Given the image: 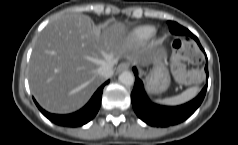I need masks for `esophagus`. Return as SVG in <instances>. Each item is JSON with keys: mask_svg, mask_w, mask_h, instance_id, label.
I'll return each instance as SVG.
<instances>
[{"mask_svg": "<svg viewBox=\"0 0 238 145\" xmlns=\"http://www.w3.org/2000/svg\"><path fill=\"white\" fill-rule=\"evenodd\" d=\"M129 68V64L128 63H121L119 64V66L117 67V72H122L125 71Z\"/></svg>", "mask_w": 238, "mask_h": 145, "instance_id": "obj_1", "label": "esophagus"}]
</instances>
